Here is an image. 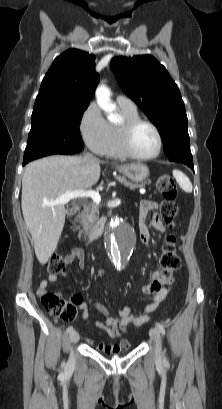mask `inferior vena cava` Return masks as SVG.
<instances>
[{
  "instance_id": "inferior-vena-cava-1",
  "label": "inferior vena cava",
  "mask_w": 222,
  "mask_h": 409,
  "mask_svg": "<svg viewBox=\"0 0 222 409\" xmlns=\"http://www.w3.org/2000/svg\"><path fill=\"white\" fill-rule=\"evenodd\" d=\"M86 160L96 161L97 158L94 157L91 153H85L83 156Z\"/></svg>"
}]
</instances>
